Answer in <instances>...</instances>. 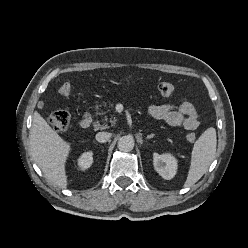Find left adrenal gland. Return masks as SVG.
Returning <instances> with one entry per match:
<instances>
[{
    "mask_svg": "<svg viewBox=\"0 0 248 248\" xmlns=\"http://www.w3.org/2000/svg\"><path fill=\"white\" fill-rule=\"evenodd\" d=\"M153 137H154V134H151V135L147 136V139H150V138H153Z\"/></svg>",
    "mask_w": 248,
    "mask_h": 248,
    "instance_id": "1",
    "label": "left adrenal gland"
}]
</instances>
